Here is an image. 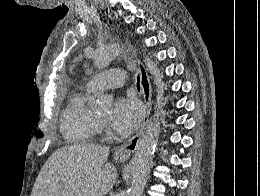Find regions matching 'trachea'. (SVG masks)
<instances>
[{"label":"trachea","mask_w":260,"mask_h":196,"mask_svg":"<svg viewBox=\"0 0 260 196\" xmlns=\"http://www.w3.org/2000/svg\"><path fill=\"white\" fill-rule=\"evenodd\" d=\"M140 78H139V76H138V78H137V88L139 89L140 88Z\"/></svg>","instance_id":"obj_1"}]
</instances>
